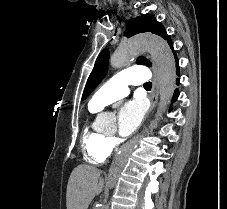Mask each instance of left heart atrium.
Returning a JSON list of instances; mask_svg holds the SVG:
<instances>
[{"label":"left heart atrium","mask_w":227,"mask_h":209,"mask_svg":"<svg viewBox=\"0 0 227 209\" xmlns=\"http://www.w3.org/2000/svg\"><path fill=\"white\" fill-rule=\"evenodd\" d=\"M144 104L137 99L125 101L119 110V132L123 136L131 135L139 126L144 115Z\"/></svg>","instance_id":"1"}]
</instances>
